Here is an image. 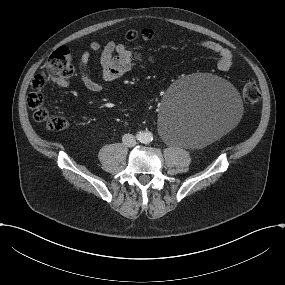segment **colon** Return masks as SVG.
<instances>
[{
  "mask_svg": "<svg viewBox=\"0 0 285 285\" xmlns=\"http://www.w3.org/2000/svg\"><path fill=\"white\" fill-rule=\"evenodd\" d=\"M129 40H137L142 38L150 40L155 36L151 29L129 30L127 32ZM75 73V68L72 63L71 52L67 47H59L56 49L45 64V71L36 74L31 82L32 91L28 94V105L34 110V118L39 122H45L46 125L55 131H61L67 128L68 122L61 115H52L44 106V97L41 93L42 88L47 80L60 85L67 81ZM243 99L248 105L256 104L261 97L259 87L254 82L245 84L242 91Z\"/></svg>",
  "mask_w": 285,
  "mask_h": 285,
  "instance_id": "colon-1",
  "label": "colon"
}]
</instances>
